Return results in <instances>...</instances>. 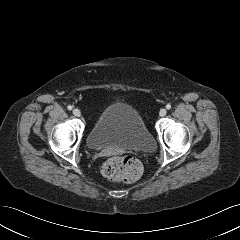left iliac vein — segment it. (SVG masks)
Segmentation results:
<instances>
[{
    "instance_id": "4c4485c4",
    "label": "left iliac vein",
    "mask_w": 240,
    "mask_h": 240,
    "mask_svg": "<svg viewBox=\"0 0 240 240\" xmlns=\"http://www.w3.org/2000/svg\"><path fill=\"white\" fill-rule=\"evenodd\" d=\"M166 113H167L166 109H160V111H159V115H160L161 117L165 116Z\"/></svg>"
}]
</instances>
